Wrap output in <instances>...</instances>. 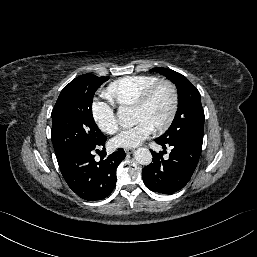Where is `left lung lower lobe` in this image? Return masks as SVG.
<instances>
[{
    "mask_svg": "<svg viewBox=\"0 0 257 257\" xmlns=\"http://www.w3.org/2000/svg\"><path fill=\"white\" fill-rule=\"evenodd\" d=\"M163 149L171 146L169 158H163V152L155 153L153 161L142 170L145 185L153 192L172 194L182 189L190 180L199 161L202 142L195 140H155ZM165 153V151H164Z\"/></svg>",
    "mask_w": 257,
    "mask_h": 257,
    "instance_id": "left-lung-lower-lobe-1",
    "label": "left lung lower lobe"
}]
</instances>
